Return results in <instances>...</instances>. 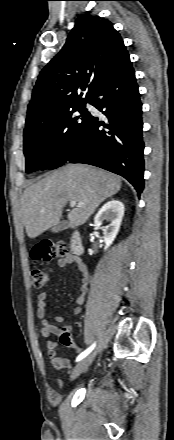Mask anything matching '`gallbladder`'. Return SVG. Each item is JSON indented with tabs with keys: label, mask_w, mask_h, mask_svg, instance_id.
I'll return each instance as SVG.
<instances>
[{
	"label": "gallbladder",
	"mask_w": 174,
	"mask_h": 440,
	"mask_svg": "<svg viewBox=\"0 0 174 440\" xmlns=\"http://www.w3.org/2000/svg\"><path fill=\"white\" fill-rule=\"evenodd\" d=\"M67 226H68L67 221L62 220V221H60L59 223H57V224L52 228V232H53V233H59V232L65 230V229L67 228Z\"/></svg>",
	"instance_id": "bac80fb5"
}]
</instances>
